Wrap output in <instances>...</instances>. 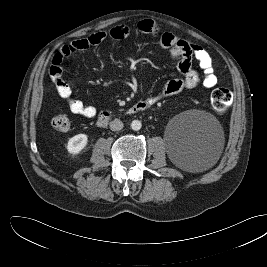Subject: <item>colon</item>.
<instances>
[{
    "label": "colon",
    "instance_id": "colon-1",
    "mask_svg": "<svg viewBox=\"0 0 267 267\" xmlns=\"http://www.w3.org/2000/svg\"><path fill=\"white\" fill-rule=\"evenodd\" d=\"M232 94L226 88H216L210 96L211 105L218 114H224L232 104ZM51 125L58 131H67L70 128V120L65 115H56L51 119Z\"/></svg>",
    "mask_w": 267,
    "mask_h": 267
}]
</instances>
